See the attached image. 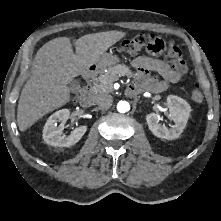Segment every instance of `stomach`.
Segmentation results:
<instances>
[{
    "mask_svg": "<svg viewBox=\"0 0 221 221\" xmlns=\"http://www.w3.org/2000/svg\"><path fill=\"white\" fill-rule=\"evenodd\" d=\"M119 62V58L112 53L103 54L100 59L96 62L99 69L104 70L116 65Z\"/></svg>",
    "mask_w": 221,
    "mask_h": 221,
    "instance_id": "stomach-1",
    "label": "stomach"
}]
</instances>
